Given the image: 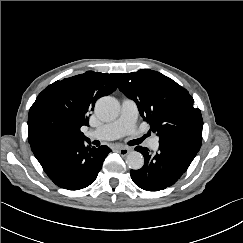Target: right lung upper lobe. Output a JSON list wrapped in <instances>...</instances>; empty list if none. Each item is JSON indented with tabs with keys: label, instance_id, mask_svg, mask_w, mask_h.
Instances as JSON below:
<instances>
[{
	"label": "right lung upper lobe",
	"instance_id": "right-lung-upper-lobe-1",
	"mask_svg": "<svg viewBox=\"0 0 243 243\" xmlns=\"http://www.w3.org/2000/svg\"><path fill=\"white\" fill-rule=\"evenodd\" d=\"M120 77V73L87 71L49 85L29 110V143L48 136L71 142L88 140L80 128L88 125L97 99L116 90Z\"/></svg>",
	"mask_w": 243,
	"mask_h": 243
}]
</instances>
